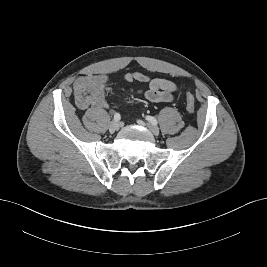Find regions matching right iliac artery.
<instances>
[{
  "mask_svg": "<svg viewBox=\"0 0 267 267\" xmlns=\"http://www.w3.org/2000/svg\"><path fill=\"white\" fill-rule=\"evenodd\" d=\"M120 119H121L120 114L119 113H115L114 120L118 122Z\"/></svg>",
  "mask_w": 267,
  "mask_h": 267,
  "instance_id": "1",
  "label": "right iliac artery"
}]
</instances>
